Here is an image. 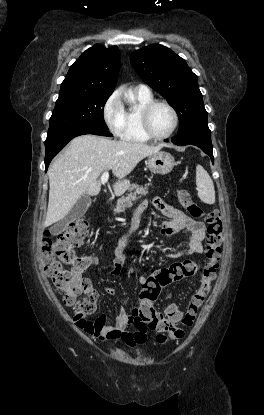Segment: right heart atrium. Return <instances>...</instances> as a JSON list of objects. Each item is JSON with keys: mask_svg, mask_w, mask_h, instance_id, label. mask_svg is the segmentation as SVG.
<instances>
[{"mask_svg": "<svg viewBox=\"0 0 264 415\" xmlns=\"http://www.w3.org/2000/svg\"><path fill=\"white\" fill-rule=\"evenodd\" d=\"M124 110L125 109L117 92H113L103 105V118L109 129L115 135H120L123 130L125 121Z\"/></svg>", "mask_w": 264, "mask_h": 415, "instance_id": "1", "label": "right heart atrium"}]
</instances>
